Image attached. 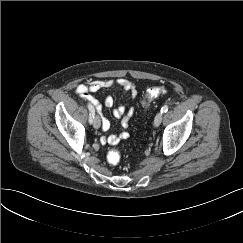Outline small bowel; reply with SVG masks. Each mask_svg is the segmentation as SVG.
<instances>
[{"label":"small bowel","mask_w":243,"mask_h":243,"mask_svg":"<svg viewBox=\"0 0 243 243\" xmlns=\"http://www.w3.org/2000/svg\"><path fill=\"white\" fill-rule=\"evenodd\" d=\"M112 87H120L125 92L130 93L132 98H135L137 91L135 85L126 80V79H117V80H94L87 83H81L76 87V93L88 102V104L94 106L98 112L102 110L101 101L94 95V93ZM103 104L106 107L111 108L114 105V99L112 96L108 95L105 97ZM134 113V108L126 110L125 106H118L113 109L112 114L115 118H122V126L127 128L129 126V121L131 116ZM110 127V122L107 118L102 117V128L104 131H107ZM129 134L126 131L121 132L120 134H113L110 136H103L101 142L103 144L116 145L121 140L128 138Z\"/></svg>","instance_id":"c3829d8e"}]
</instances>
